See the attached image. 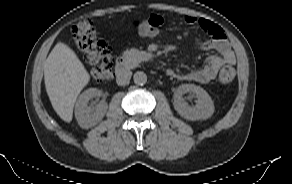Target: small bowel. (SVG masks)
Returning a JSON list of instances; mask_svg holds the SVG:
<instances>
[{
	"instance_id": "c3829d8e",
	"label": "small bowel",
	"mask_w": 292,
	"mask_h": 184,
	"mask_svg": "<svg viewBox=\"0 0 292 184\" xmlns=\"http://www.w3.org/2000/svg\"><path fill=\"white\" fill-rule=\"evenodd\" d=\"M163 23V17L158 14H153ZM185 23L192 26H198L203 31L210 35V38L203 42H197V45L202 50H215L217 53L207 58L206 65L200 69L192 70L187 73H176L172 70L169 71L174 77L185 80L194 81L201 84H207L214 80L217 76L219 69L225 64H234L236 61L235 54L231 49L229 42L217 24L203 18H197L192 15L184 17Z\"/></svg>"
}]
</instances>
